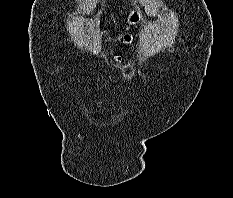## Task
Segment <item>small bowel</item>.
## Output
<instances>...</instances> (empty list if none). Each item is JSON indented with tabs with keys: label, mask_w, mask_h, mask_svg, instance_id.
Returning <instances> with one entry per match:
<instances>
[{
	"label": "small bowel",
	"mask_w": 233,
	"mask_h": 198,
	"mask_svg": "<svg viewBox=\"0 0 233 198\" xmlns=\"http://www.w3.org/2000/svg\"><path fill=\"white\" fill-rule=\"evenodd\" d=\"M134 36L131 33H124L119 37V42L125 45H129L133 42ZM118 61L120 60L119 57L116 58Z\"/></svg>",
	"instance_id": "obj_1"
}]
</instances>
